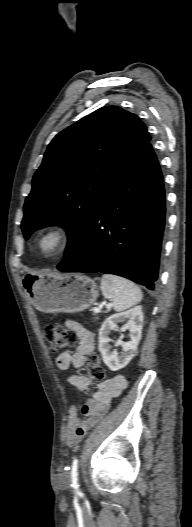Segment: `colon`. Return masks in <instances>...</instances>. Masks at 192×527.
<instances>
[{"instance_id":"obj_1","label":"colon","mask_w":192,"mask_h":527,"mask_svg":"<svg viewBox=\"0 0 192 527\" xmlns=\"http://www.w3.org/2000/svg\"><path fill=\"white\" fill-rule=\"evenodd\" d=\"M44 336L53 351L62 350L77 342V334L73 330L64 328L59 324L46 325ZM86 370L91 377L98 380L104 379V370L97 354L90 353L88 355Z\"/></svg>"}]
</instances>
